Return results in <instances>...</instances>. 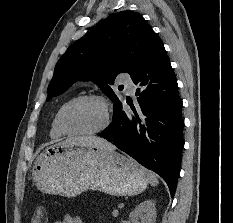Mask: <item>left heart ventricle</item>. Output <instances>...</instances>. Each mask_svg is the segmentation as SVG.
I'll return each instance as SVG.
<instances>
[{"instance_id":"b2bd125f","label":"left heart ventricle","mask_w":233,"mask_h":223,"mask_svg":"<svg viewBox=\"0 0 233 223\" xmlns=\"http://www.w3.org/2000/svg\"><path fill=\"white\" fill-rule=\"evenodd\" d=\"M65 122L74 132H93L105 122V111L98 101H82L73 105L66 113Z\"/></svg>"}]
</instances>
